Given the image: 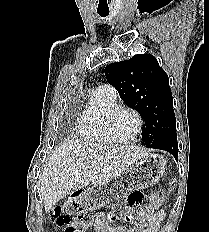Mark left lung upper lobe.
I'll return each mask as SVG.
<instances>
[{"label":"left lung upper lobe","instance_id":"obj_1","mask_svg":"<svg viewBox=\"0 0 209 232\" xmlns=\"http://www.w3.org/2000/svg\"><path fill=\"white\" fill-rule=\"evenodd\" d=\"M105 76L126 105L144 119L142 140L146 147L158 149L163 139L176 135L169 78L154 56L139 54L107 65Z\"/></svg>","mask_w":209,"mask_h":232}]
</instances>
